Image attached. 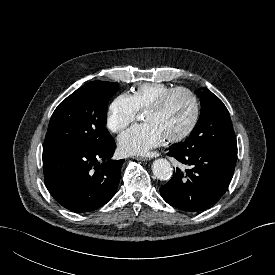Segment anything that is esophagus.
Wrapping results in <instances>:
<instances>
[{
	"mask_svg": "<svg viewBox=\"0 0 275 275\" xmlns=\"http://www.w3.org/2000/svg\"><path fill=\"white\" fill-rule=\"evenodd\" d=\"M134 159L140 160V161H146V160H148V158L144 157V156H135Z\"/></svg>",
	"mask_w": 275,
	"mask_h": 275,
	"instance_id": "obj_1",
	"label": "esophagus"
}]
</instances>
